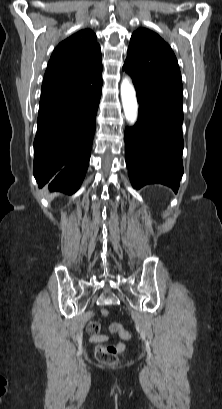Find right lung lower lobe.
I'll return each instance as SVG.
<instances>
[{"label": "right lung lower lobe", "mask_w": 222, "mask_h": 409, "mask_svg": "<svg viewBox=\"0 0 222 409\" xmlns=\"http://www.w3.org/2000/svg\"><path fill=\"white\" fill-rule=\"evenodd\" d=\"M102 72L76 94L40 102L34 140V176L39 187L75 193L90 160Z\"/></svg>", "instance_id": "obj_1"}]
</instances>
